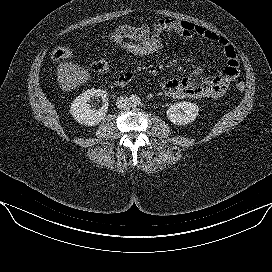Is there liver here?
I'll return each instance as SVG.
<instances>
[{
	"label": "liver",
	"mask_w": 272,
	"mask_h": 272,
	"mask_svg": "<svg viewBox=\"0 0 272 272\" xmlns=\"http://www.w3.org/2000/svg\"><path fill=\"white\" fill-rule=\"evenodd\" d=\"M89 78L88 71L76 64L65 62L58 66V80L63 91H71L86 83Z\"/></svg>",
	"instance_id": "6515ba94"
}]
</instances>
